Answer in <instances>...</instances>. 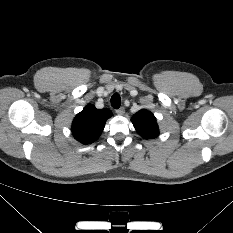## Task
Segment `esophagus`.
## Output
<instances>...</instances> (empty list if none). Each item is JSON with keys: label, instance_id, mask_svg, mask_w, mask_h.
Here are the masks:
<instances>
[{"label": "esophagus", "instance_id": "34e87169", "mask_svg": "<svg viewBox=\"0 0 233 233\" xmlns=\"http://www.w3.org/2000/svg\"><path fill=\"white\" fill-rule=\"evenodd\" d=\"M116 113L118 115H123L125 113V109L123 107H121V108H119V109L116 110Z\"/></svg>", "mask_w": 233, "mask_h": 233}]
</instances>
